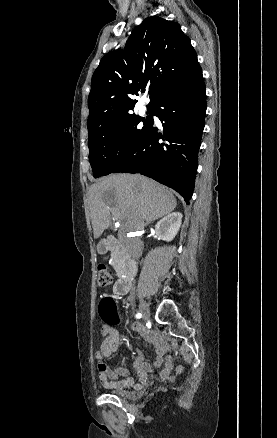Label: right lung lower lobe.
Instances as JSON below:
<instances>
[{"instance_id":"98d812e1","label":"right lung lower lobe","mask_w":277,"mask_h":438,"mask_svg":"<svg viewBox=\"0 0 277 438\" xmlns=\"http://www.w3.org/2000/svg\"><path fill=\"white\" fill-rule=\"evenodd\" d=\"M169 71L177 63L167 64ZM206 88L202 70L161 92L150 107L162 126L149 127L113 173H140L173 188L189 204L197 173L198 151L205 124Z\"/></svg>"}]
</instances>
